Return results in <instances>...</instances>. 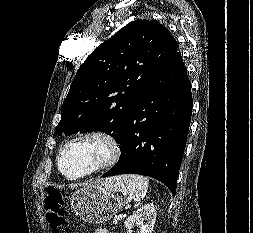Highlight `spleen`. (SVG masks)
<instances>
[{
  "mask_svg": "<svg viewBox=\"0 0 253 233\" xmlns=\"http://www.w3.org/2000/svg\"><path fill=\"white\" fill-rule=\"evenodd\" d=\"M148 178L136 175L126 174L109 178L105 188L113 192H121L130 196L134 201H141L146 196L148 190Z\"/></svg>",
  "mask_w": 253,
  "mask_h": 233,
  "instance_id": "obj_1",
  "label": "spleen"
}]
</instances>
